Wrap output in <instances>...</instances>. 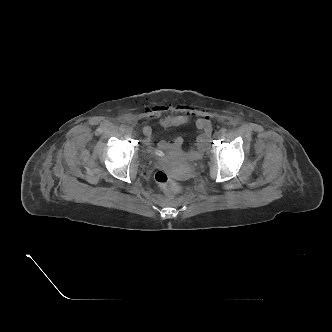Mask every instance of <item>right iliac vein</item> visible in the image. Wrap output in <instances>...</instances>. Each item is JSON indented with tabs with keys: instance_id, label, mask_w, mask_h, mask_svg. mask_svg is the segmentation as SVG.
Listing matches in <instances>:
<instances>
[{
	"instance_id": "63e3f726",
	"label": "right iliac vein",
	"mask_w": 332,
	"mask_h": 332,
	"mask_svg": "<svg viewBox=\"0 0 332 332\" xmlns=\"http://www.w3.org/2000/svg\"><path fill=\"white\" fill-rule=\"evenodd\" d=\"M127 132H128L129 134H132V133H133V130H132V129H128Z\"/></svg>"
}]
</instances>
